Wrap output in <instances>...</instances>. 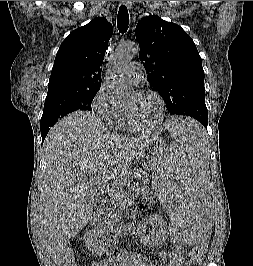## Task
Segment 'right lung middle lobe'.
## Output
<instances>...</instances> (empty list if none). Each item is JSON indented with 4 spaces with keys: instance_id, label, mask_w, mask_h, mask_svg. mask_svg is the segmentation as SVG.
<instances>
[{
    "instance_id": "1",
    "label": "right lung middle lobe",
    "mask_w": 253,
    "mask_h": 266,
    "mask_svg": "<svg viewBox=\"0 0 253 266\" xmlns=\"http://www.w3.org/2000/svg\"><path fill=\"white\" fill-rule=\"evenodd\" d=\"M99 89L59 90L48 93L45 99L40 129L50 128L59 119L73 111H92L91 103Z\"/></svg>"
}]
</instances>
